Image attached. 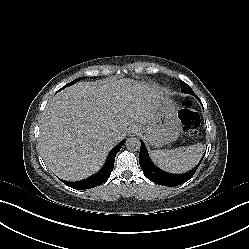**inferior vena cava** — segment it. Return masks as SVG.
<instances>
[{
	"mask_svg": "<svg viewBox=\"0 0 249 249\" xmlns=\"http://www.w3.org/2000/svg\"><path fill=\"white\" fill-rule=\"evenodd\" d=\"M114 140H118V141L121 140L120 134L115 135V136H114Z\"/></svg>",
	"mask_w": 249,
	"mask_h": 249,
	"instance_id": "602c4592",
	"label": "inferior vena cava"
}]
</instances>
